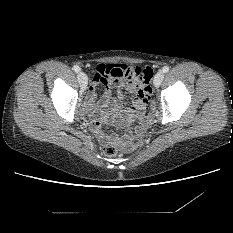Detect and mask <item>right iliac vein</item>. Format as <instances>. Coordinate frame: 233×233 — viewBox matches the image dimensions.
Masks as SVG:
<instances>
[{"label":"right iliac vein","mask_w":233,"mask_h":233,"mask_svg":"<svg viewBox=\"0 0 233 233\" xmlns=\"http://www.w3.org/2000/svg\"><path fill=\"white\" fill-rule=\"evenodd\" d=\"M77 77L81 85V89L82 91H84L87 88V84H88L87 75L84 72H79Z\"/></svg>","instance_id":"1"}]
</instances>
